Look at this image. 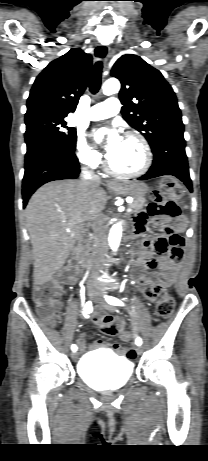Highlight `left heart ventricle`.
<instances>
[{
  "label": "left heart ventricle",
  "mask_w": 208,
  "mask_h": 461,
  "mask_svg": "<svg viewBox=\"0 0 208 461\" xmlns=\"http://www.w3.org/2000/svg\"><path fill=\"white\" fill-rule=\"evenodd\" d=\"M113 167L122 172H134L144 163V152L140 142L132 137H122L119 145L109 154Z\"/></svg>",
  "instance_id": "1"
}]
</instances>
